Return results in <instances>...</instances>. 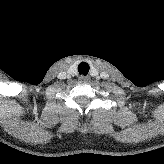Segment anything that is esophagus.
<instances>
[{"label":"esophagus","instance_id":"esophagus-1","mask_svg":"<svg viewBox=\"0 0 164 164\" xmlns=\"http://www.w3.org/2000/svg\"><path fill=\"white\" fill-rule=\"evenodd\" d=\"M89 79H90L89 76H84V75L79 76V80H81V81H83V82H86V81H88Z\"/></svg>","mask_w":164,"mask_h":164}]
</instances>
